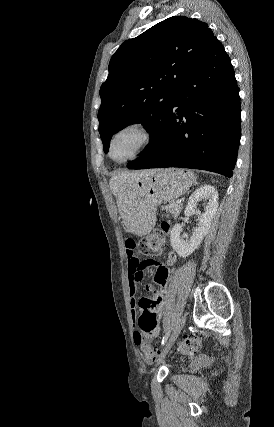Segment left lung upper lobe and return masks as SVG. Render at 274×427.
Returning <instances> with one entry per match:
<instances>
[{
	"instance_id": "left-lung-upper-lobe-1",
	"label": "left lung upper lobe",
	"mask_w": 274,
	"mask_h": 427,
	"mask_svg": "<svg viewBox=\"0 0 274 427\" xmlns=\"http://www.w3.org/2000/svg\"><path fill=\"white\" fill-rule=\"evenodd\" d=\"M214 38L208 25L186 16L170 17L118 48L100 88L99 133L107 153L111 137L142 123L152 146L185 76Z\"/></svg>"
}]
</instances>
